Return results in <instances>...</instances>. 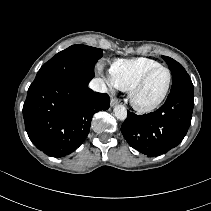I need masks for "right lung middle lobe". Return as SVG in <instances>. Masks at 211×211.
I'll list each match as a JSON object with an SVG mask.
<instances>
[{"mask_svg": "<svg viewBox=\"0 0 211 211\" xmlns=\"http://www.w3.org/2000/svg\"><path fill=\"white\" fill-rule=\"evenodd\" d=\"M102 56V49L81 44L72 45L45 63L35 80L63 78L89 83L94 77V66Z\"/></svg>", "mask_w": 211, "mask_h": 211, "instance_id": "dd1d6c3e", "label": "right lung middle lobe"}]
</instances>
